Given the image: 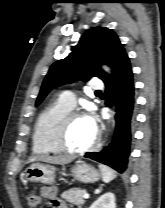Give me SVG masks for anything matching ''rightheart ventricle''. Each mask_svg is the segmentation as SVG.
Returning <instances> with one entry per match:
<instances>
[{"instance_id": "1", "label": "right heart ventricle", "mask_w": 165, "mask_h": 208, "mask_svg": "<svg viewBox=\"0 0 165 208\" xmlns=\"http://www.w3.org/2000/svg\"><path fill=\"white\" fill-rule=\"evenodd\" d=\"M72 108L60 101L47 106L37 117L32 136V148L36 154L59 153L54 144V132L60 119Z\"/></svg>"}]
</instances>
